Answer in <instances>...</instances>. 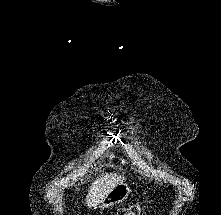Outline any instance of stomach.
<instances>
[{
	"instance_id": "obj_1",
	"label": "stomach",
	"mask_w": 221,
	"mask_h": 215,
	"mask_svg": "<svg viewBox=\"0 0 221 215\" xmlns=\"http://www.w3.org/2000/svg\"><path fill=\"white\" fill-rule=\"evenodd\" d=\"M131 189L127 183H121L111 190L100 204L101 210L123 202L130 194Z\"/></svg>"
}]
</instances>
